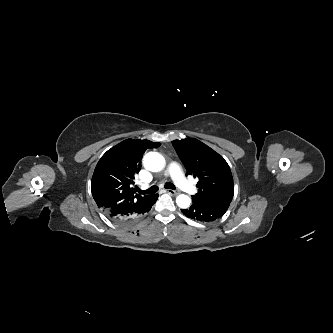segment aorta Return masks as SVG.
Returning a JSON list of instances; mask_svg holds the SVG:
<instances>
[{"label": "aorta", "mask_w": 333, "mask_h": 333, "mask_svg": "<svg viewBox=\"0 0 333 333\" xmlns=\"http://www.w3.org/2000/svg\"><path fill=\"white\" fill-rule=\"evenodd\" d=\"M144 166L150 171L158 172L164 168L165 160L161 154L149 152L144 156ZM176 203L180 208L185 209L190 206L191 200L189 196L181 194L177 196Z\"/></svg>", "instance_id": "obj_1"}]
</instances>
